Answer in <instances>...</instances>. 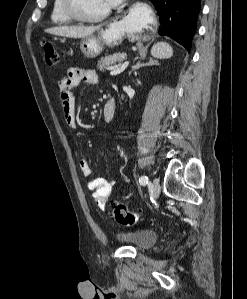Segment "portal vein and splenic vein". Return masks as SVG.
<instances>
[{
    "mask_svg": "<svg viewBox=\"0 0 247 299\" xmlns=\"http://www.w3.org/2000/svg\"><path fill=\"white\" fill-rule=\"evenodd\" d=\"M129 65V62L128 61H125L124 63H122L121 65L119 66H116V67H111L109 68L110 70V74L111 75H117V74H120L121 72H123L127 66Z\"/></svg>",
    "mask_w": 247,
    "mask_h": 299,
    "instance_id": "1",
    "label": "portal vein and splenic vein"
}]
</instances>
